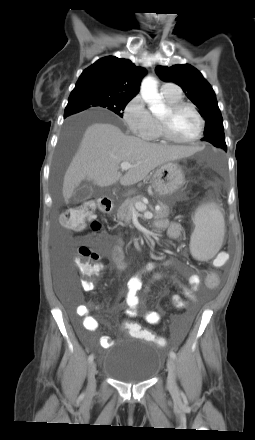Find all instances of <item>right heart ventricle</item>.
<instances>
[{"instance_id":"obj_1","label":"right heart ventricle","mask_w":255,"mask_h":440,"mask_svg":"<svg viewBox=\"0 0 255 440\" xmlns=\"http://www.w3.org/2000/svg\"><path fill=\"white\" fill-rule=\"evenodd\" d=\"M162 95H163L164 101L167 103V105H173V104L182 102L181 93H174V92L173 93H163L162 92ZM155 122H156L155 131L152 135H149L147 137V139H157L162 136L160 124L156 119H155Z\"/></svg>"}]
</instances>
